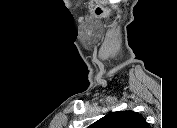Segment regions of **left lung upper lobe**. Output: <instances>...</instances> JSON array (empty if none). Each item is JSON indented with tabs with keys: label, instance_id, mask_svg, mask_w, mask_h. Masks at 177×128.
<instances>
[{
	"label": "left lung upper lobe",
	"instance_id": "5c2ea615",
	"mask_svg": "<svg viewBox=\"0 0 177 128\" xmlns=\"http://www.w3.org/2000/svg\"><path fill=\"white\" fill-rule=\"evenodd\" d=\"M96 128H147L145 119L134 111L112 112L94 123Z\"/></svg>",
	"mask_w": 177,
	"mask_h": 128
}]
</instances>
